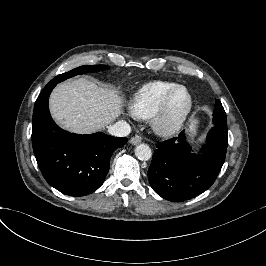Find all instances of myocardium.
<instances>
[{
    "label": "myocardium",
    "instance_id": "obj_1",
    "mask_svg": "<svg viewBox=\"0 0 266 266\" xmlns=\"http://www.w3.org/2000/svg\"><path fill=\"white\" fill-rule=\"evenodd\" d=\"M180 89L186 90L189 96V108L179 122L173 125H168L165 122V118L167 116L172 99L174 98L177 91ZM194 110H195V98L193 92L188 86L180 84L176 86L174 89H172L163 98L158 108L154 111L150 120L151 129L156 135L160 137L172 138L177 134H179L184 129V127L190 120L191 116L193 115Z\"/></svg>",
    "mask_w": 266,
    "mask_h": 266
}]
</instances>
